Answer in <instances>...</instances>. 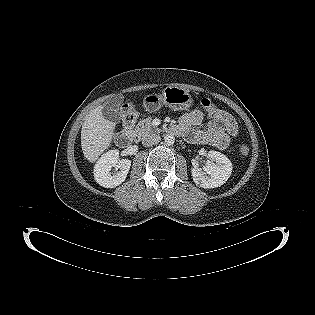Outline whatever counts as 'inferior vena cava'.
I'll return each mask as SVG.
<instances>
[{
  "mask_svg": "<svg viewBox=\"0 0 315 315\" xmlns=\"http://www.w3.org/2000/svg\"><path fill=\"white\" fill-rule=\"evenodd\" d=\"M161 141V137L157 134L148 135L145 138H143L142 144L143 146H152L154 144H157Z\"/></svg>",
  "mask_w": 315,
  "mask_h": 315,
  "instance_id": "obj_1",
  "label": "inferior vena cava"
}]
</instances>
